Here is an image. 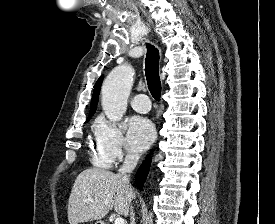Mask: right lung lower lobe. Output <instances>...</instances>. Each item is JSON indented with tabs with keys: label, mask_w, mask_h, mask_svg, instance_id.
<instances>
[{
	"label": "right lung lower lobe",
	"mask_w": 275,
	"mask_h": 224,
	"mask_svg": "<svg viewBox=\"0 0 275 224\" xmlns=\"http://www.w3.org/2000/svg\"><path fill=\"white\" fill-rule=\"evenodd\" d=\"M150 167V159L149 157L142 163L139 170L136 173L135 181L140 190L143 188V184L147 178Z\"/></svg>",
	"instance_id": "98d812e1"
}]
</instances>
